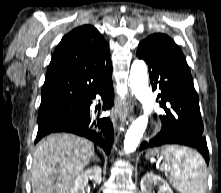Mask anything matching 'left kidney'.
I'll use <instances>...</instances> for the list:
<instances>
[{"mask_svg": "<svg viewBox=\"0 0 221 193\" xmlns=\"http://www.w3.org/2000/svg\"><path fill=\"white\" fill-rule=\"evenodd\" d=\"M152 184H156L159 186L158 193H173L172 189L170 188L169 184L165 182L159 176H156L152 173H147L141 179V191L142 193H151Z\"/></svg>", "mask_w": 221, "mask_h": 193, "instance_id": "5707ae66", "label": "left kidney"}]
</instances>
